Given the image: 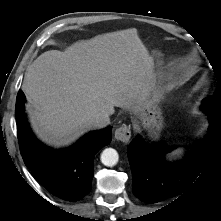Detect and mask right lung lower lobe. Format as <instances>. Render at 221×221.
<instances>
[{
    "mask_svg": "<svg viewBox=\"0 0 221 221\" xmlns=\"http://www.w3.org/2000/svg\"><path fill=\"white\" fill-rule=\"evenodd\" d=\"M25 102L19 90L15 112L25 165L51 194L66 201L80 200L91 190L94 156L110 143L112 127L90 132L68 149L54 150L35 138L26 119Z\"/></svg>",
    "mask_w": 221,
    "mask_h": 221,
    "instance_id": "98d812e1",
    "label": "right lung lower lobe"
}]
</instances>
